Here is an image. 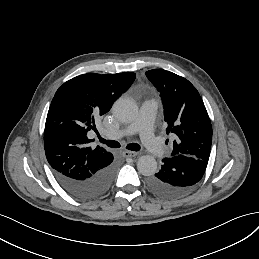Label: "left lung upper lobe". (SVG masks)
<instances>
[{"label":"left lung upper lobe","instance_id":"obj_1","mask_svg":"<svg viewBox=\"0 0 259 259\" xmlns=\"http://www.w3.org/2000/svg\"><path fill=\"white\" fill-rule=\"evenodd\" d=\"M160 92L164 108L166 133H174L171 156L183 154L209 160L212 125L203 100L187 79L164 69L146 72Z\"/></svg>","mask_w":259,"mask_h":259}]
</instances>
